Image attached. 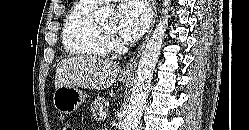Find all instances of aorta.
<instances>
[{
	"mask_svg": "<svg viewBox=\"0 0 249 130\" xmlns=\"http://www.w3.org/2000/svg\"><path fill=\"white\" fill-rule=\"evenodd\" d=\"M169 6L170 1L164 0L163 7L165 9L163 8L162 10L164 16L160 18L141 54L135 74L130 102L127 106V114L122 123V130L138 129L149 94L153 72L165 37ZM96 16L100 20H110L115 18V11L109 6H102L97 10Z\"/></svg>",
	"mask_w": 249,
	"mask_h": 130,
	"instance_id": "762f6f07",
	"label": "aorta"
}]
</instances>
